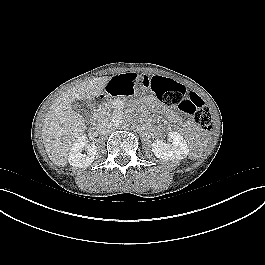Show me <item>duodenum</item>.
Returning <instances> with one entry per match:
<instances>
[{"instance_id":"duodenum-1","label":"duodenum","mask_w":265,"mask_h":265,"mask_svg":"<svg viewBox=\"0 0 265 265\" xmlns=\"http://www.w3.org/2000/svg\"><path fill=\"white\" fill-rule=\"evenodd\" d=\"M95 116H96V117H98V116H99L98 112H95Z\"/></svg>"}]
</instances>
